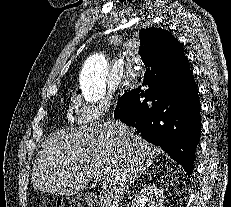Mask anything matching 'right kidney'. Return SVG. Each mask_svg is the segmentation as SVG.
<instances>
[{"label":"right kidney","mask_w":231,"mask_h":207,"mask_svg":"<svg viewBox=\"0 0 231 207\" xmlns=\"http://www.w3.org/2000/svg\"><path fill=\"white\" fill-rule=\"evenodd\" d=\"M163 191L155 185H144L135 195L130 207H163Z\"/></svg>","instance_id":"ca27d5eb"}]
</instances>
